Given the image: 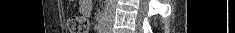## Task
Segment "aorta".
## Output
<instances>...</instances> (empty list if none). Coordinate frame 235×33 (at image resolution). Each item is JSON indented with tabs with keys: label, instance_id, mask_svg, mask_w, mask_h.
<instances>
[{
	"label": "aorta",
	"instance_id": "aorta-1",
	"mask_svg": "<svg viewBox=\"0 0 235 33\" xmlns=\"http://www.w3.org/2000/svg\"><path fill=\"white\" fill-rule=\"evenodd\" d=\"M116 1L117 0H105V8L103 12V27L106 31H109L111 29L115 13Z\"/></svg>",
	"mask_w": 235,
	"mask_h": 33
}]
</instances>
